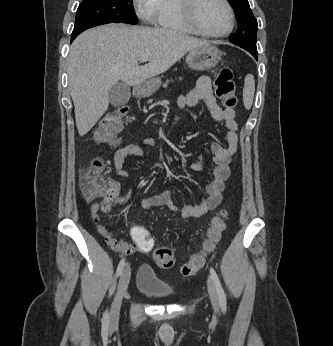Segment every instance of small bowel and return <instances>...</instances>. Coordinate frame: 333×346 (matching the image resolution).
I'll return each mask as SVG.
<instances>
[{"label": "small bowel", "instance_id": "obj_1", "mask_svg": "<svg viewBox=\"0 0 333 346\" xmlns=\"http://www.w3.org/2000/svg\"><path fill=\"white\" fill-rule=\"evenodd\" d=\"M201 101L205 102L210 109L212 117L226 127V145L219 142L211 143V151L214 155V168L212 170V179L206 186L207 197L202 199L199 204L176 206L171 198L170 191H164L159 195L147 197L142 200V207L151 210L158 206H166L170 210L178 213L184 219L196 218L215 209L222 200V192L225 189V182L230 175V165L233 157L237 152L238 125L235 120V112L233 109H222L214 97L211 88V81L208 76H201L196 87L178 99V108L182 109L186 106L193 107ZM178 116L174 117L175 126L178 125ZM157 144L154 138H145L142 145L152 147ZM144 152L137 144H127L118 148L113 157V163L116 173L125 177L128 170L125 160L129 156L142 157ZM192 169L201 171L204 169V161L198 159L192 164ZM110 194L101 202L93 203L90 206V213L99 234L106 240L107 244L113 248L114 254H133L138 248L133 243L119 240L115 234L104 224L103 213H108L115 203L126 204L131 198V192L124 196H119L121 185L118 181L109 179ZM152 240V239H151ZM135 241V240H134ZM136 243V241H135Z\"/></svg>", "mask_w": 333, "mask_h": 346}]
</instances>
